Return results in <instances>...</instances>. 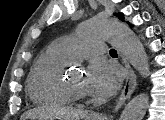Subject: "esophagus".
<instances>
[{"mask_svg":"<svg viewBox=\"0 0 165 120\" xmlns=\"http://www.w3.org/2000/svg\"><path fill=\"white\" fill-rule=\"evenodd\" d=\"M123 63L127 69V78H126L124 87L122 89V92L119 96V99L115 108V112H117L125 103V101L130 98L137 84L136 75L133 69L131 68L130 64L125 59H123Z\"/></svg>","mask_w":165,"mask_h":120,"instance_id":"esophagus-1","label":"esophagus"}]
</instances>
